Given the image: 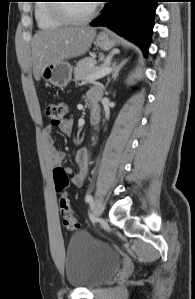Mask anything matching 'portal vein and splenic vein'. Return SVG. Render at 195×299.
<instances>
[{
	"label": "portal vein and splenic vein",
	"instance_id": "portal-vein-and-splenic-vein-1",
	"mask_svg": "<svg viewBox=\"0 0 195 299\" xmlns=\"http://www.w3.org/2000/svg\"><path fill=\"white\" fill-rule=\"evenodd\" d=\"M112 71V68L109 66L102 67L101 69L97 70L93 73L90 77L86 79V82H94L97 79L104 77L105 75L109 74Z\"/></svg>",
	"mask_w": 195,
	"mask_h": 299
}]
</instances>
